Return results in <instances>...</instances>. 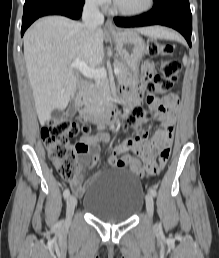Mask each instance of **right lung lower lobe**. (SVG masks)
<instances>
[{"mask_svg": "<svg viewBox=\"0 0 219 258\" xmlns=\"http://www.w3.org/2000/svg\"><path fill=\"white\" fill-rule=\"evenodd\" d=\"M84 0H35L24 5L21 35L39 17L46 15H63L79 19L82 14Z\"/></svg>", "mask_w": 219, "mask_h": 258, "instance_id": "1", "label": "right lung lower lobe"}]
</instances>
